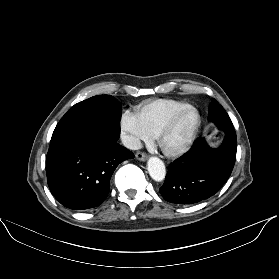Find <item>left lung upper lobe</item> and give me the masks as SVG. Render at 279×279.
Masks as SVG:
<instances>
[{
    "label": "left lung upper lobe",
    "instance_id": "obj_1",
    "mask_svg": "<svg viewBox=\"0 0 279 279\" xmlns=\"http://www.w3.org/2000/svg\"><path fill=\"white\" fill-rule=\"evenodd\" d=\"M209 121L215 123L219 129H224L226 124L232 125L231 119L224 110V108L218 104L215 99H212V102L209 106ZM233 126V125H232Z\"/></svg>",
    "mask_w": 279,
    "mask_h": 279
}]
</instances>
